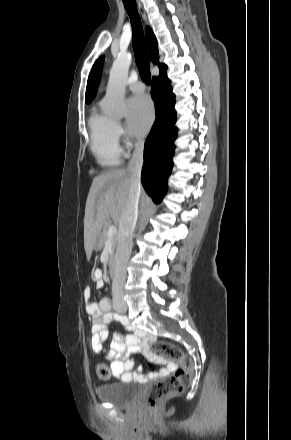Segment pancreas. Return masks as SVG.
Listing matches in <instances>:
<instances>
[{"label":"pancreas","mask_w":291,"mask_h":440,"mask_svg":"<svg viewBox=\"0 0 291 440\" xmlns=\"http://www.w3.org/2000/svg\"><path fill=\"white\" fill-rule=\"evenodd\" d=\"M109 227H110V224L108 222H106L103 225V230H102V233L100 235V242H101L102 245H104L106 243L107 239H108L107 231H108ZM117 240H118L117 234H115V235H113L111 237V248H110V258L111 259H113V257H114V251H115V248H116V245H117Z\"/></svg>","instance_id":"cf45deb5"}]
</instances>
